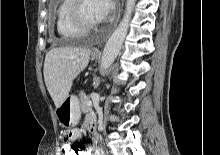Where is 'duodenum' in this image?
I'll return each mask as SVG.
<instances>
[{
  "label": "duodenum",
  "mask_w": 220,
  "mask_h": 155,
  "mask_svg": "<svg viewBox=\"0 0 220 155\" xmlns=\"http://www.w3.org/2000/svg\"><path fill=\"white\" fill-rule=\"evenodd\" d=\"M89 132L91 136L96 139L98 137L97 127H96V121H92L89 126Z\"/></svg>",
  "instance_id": "duodenum-1"
}]
</instances>
